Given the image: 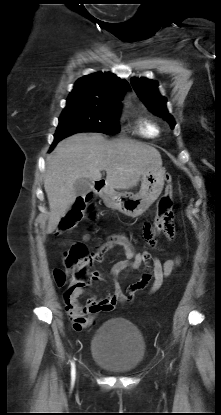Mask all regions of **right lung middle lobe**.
<instances>
[{
	"label": "right lung middle lobe",
	"instance_id": "right-lung-middle-lobe-1",
	"mask_svg": "<svg viewBox=\"0 0 221 415\" xmlns=\"http://www.w3.org/2000/svg\"><path fill=\"white\" fill-rule=\"evenodd\" d=\"M119 113L118 104L67 100V105L59 118L55 140H61L77 132H102L108 135L118 133Z\"/></svg>",
	"mask_w": 221,
	"mask_h": 415
}]
</instances>
